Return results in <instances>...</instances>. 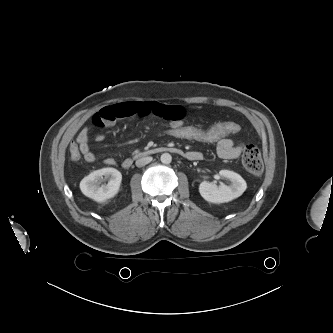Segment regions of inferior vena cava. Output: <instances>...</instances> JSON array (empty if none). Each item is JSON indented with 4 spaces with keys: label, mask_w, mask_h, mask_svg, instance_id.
Instances as JSON below:
<instances>
[{
    "label": "inferior vena cava",
    "mask_w": 333,
    "mask_h": 333,
    "mask_svg": "<svg viewBox=\"0 0 333 333\" xmlns=\"http://www.w3.org/2000/svg\"><path fill=\"white\" fill-rule=\"evenodd\" d=\"M151 161H152V157H143V158L136 160V166L143 167L146 164L150 163Z\"/></svg>",
    "instance_id": "obj_1"
}]
</instances>
